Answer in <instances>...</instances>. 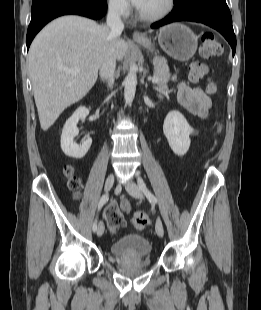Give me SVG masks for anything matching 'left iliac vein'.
<instances>
[{"label":"left iliac vein","mask_w":261,"mask_h":310,"mask_svg":"<svg viewBox=\"0 0 261 310\" xmlns=\"http://www.w3.org/2000/svg\"><path fill=\"white\" fill-rule=\"evenodd\" d=\"M126 190L134 198L140 199V198L143 197L141 189L134 182L128 183L126 185ZM155 230H156V233H157L158 236L163 237V235H164V228H163L162 221H161V219L159 217L156 219Z\"/></svg>","instance_id":"4c4485c4"}]
</instances>
